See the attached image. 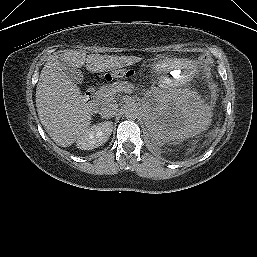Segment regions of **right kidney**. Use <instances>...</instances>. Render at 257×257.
<instances>
[{
  "mask_svg": "<svg viewBox=\"0 0 257 257\" xmlns=\"http://www.w3.org/2000/svg\"><path fill=\"white\" fill-rule=\"evenodd\" d=\"M113 130V123L102 122L87 128L77 139L81 150H92L107 142Z\"/></svg>",
  "mask_w": 257,
  "mask_h": 257,
  "instance_id": "1",
  "label": "right kidney"
}]
</instances>
